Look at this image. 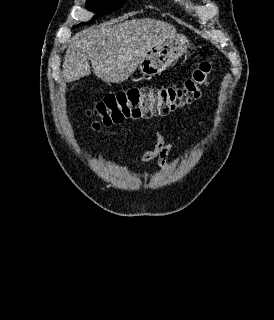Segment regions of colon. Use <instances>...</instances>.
<instances>
[{
  "label": "colon",
  "mask_w": 274,
  "mask_h": 320,
  "mask_svg": "<svg viewBox=\"0 0 274 320\" xmlns=\"http://www.w3.org/2000/svg\"><path fill=\"white\" fill-rule=\"evenodd\" d=\"M214 70V61L206 59L181 85L131 87L109 93L89 109L87 116L93 119L92 127L100 129L129 119L167 115L200 99Z\"/></svg>",
  "instance_id": "1"
}]
</instances>
